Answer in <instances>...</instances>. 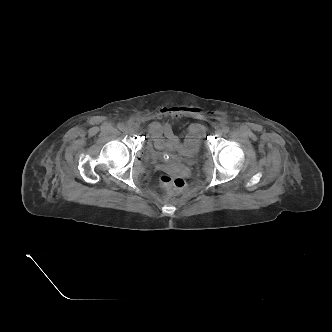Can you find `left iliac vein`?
<instances>
[{"mask_svg": "<svg viewBox=\"0 0 332 332\" xmlns=\"http://www.w3.org/2000/svg\"><path fill=\"white\" fill-rule=\"evenodd\" d=\"M216 134H217L218 136H221V135L223 134V131H222L221 129H218V130L216 131Z\"/></svg>", "mask_w": 332, "mask_h": 332, "instance_id": "left-iliac-vein-1", "label": "left iliac vein"}]
</instances>
